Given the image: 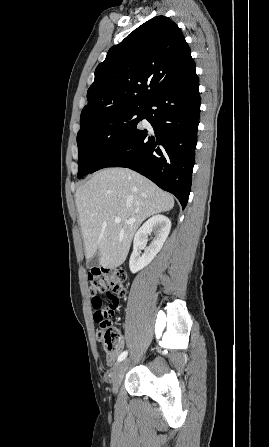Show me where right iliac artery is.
Wrapping results in <instances>:
<instances>
[{"instance_id":"1","label":"right iliac artery","mask_w":269,"mask_h":447,"mask_svg":"<svg viewBox=\"0 0 269 447\" xmlns=\"http://www.w3.org/2000/svg\"><path fill=\"white\" fill-rule=\"evenodd\" d=\"M127 354H128L127 351H124L123 353H121L120 356L118 357V362L123 361L126 358Z\"/></svg>"}]
</instances>
